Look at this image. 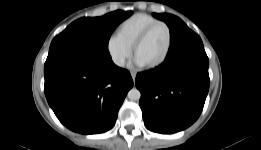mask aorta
<instances>
[{
  "label": "aorta",
  "mask_w": 261,
  "mask_h": 150,
  "mask_svg": "<svg viewBox=\"0 0 261 150\" xmlns=\"http://www.w3.org/2000/svg\"><path fill=\"white\" fill-rule=\"evenodd\" d=\"M128 98L132 101H138L141 97V93L137 88H132L129 92H128Z\"/></svg>",
  "instance_id": "1"
}]
</instances>
